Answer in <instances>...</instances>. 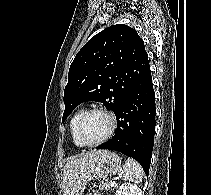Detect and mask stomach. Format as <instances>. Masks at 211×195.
I'll list each match as a JSON object with an SVG mask.
<instances>
[{"label": "stomach", "mask_w": 211, "mask_h": 195, "mask_svg": "<svg viewBox=\"0 0 211 195\" xmlns=\"http://www.w3.org/2000/svg\"><path fill=\"white\" fill-rule=\"evenodd\" d=\"M121 166V158L115 152L103 151L94 160L93 166L89 173L88 182L99 179L107 178L118 172Z\"/></svg>", "instance_id": "0dacf381"}]
</instances>
